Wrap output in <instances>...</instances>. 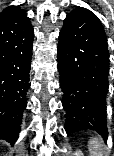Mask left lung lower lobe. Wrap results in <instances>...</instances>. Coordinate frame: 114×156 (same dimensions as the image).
<instances>
[{
    "instance_id": "0a47b994",
    "label": "left lung lower lobe",
    "mask_w": 114,
    "mask_h": 156,
    "mask_svg": "<svg viewBox=\"0 0 114 156\" xmlns=\"http://www.w3.org/2000/svg\"><path fill=\"white\" fill-rule=\"evenodd\" d=\"M57 54L66 132L91 129L106 140L109 52L105 31L93 12L78 7L67 15Z\"/></svg>"
}]
</instances>
